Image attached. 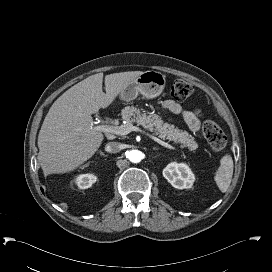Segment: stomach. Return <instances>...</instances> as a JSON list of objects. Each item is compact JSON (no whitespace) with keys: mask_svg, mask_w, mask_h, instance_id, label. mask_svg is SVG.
I'll return each mask as SVG.
<instances>
[{"mask_svg":"<svg viewBox=\"0 0 272 272\" xmlns=\"http://www.w3.org/2000/svg\"><path fill=\"white\" fill-rule=\"evenodd\" d=\"M165 83V75L161 72L154 70L146 71L130 82L119 95L121 100L125 102L135 100L138 95H142L147 99H153L163 92Z\"/></svg>","mask_w":272,"mask_h":272,"instance_id":"stomach-1","label":"stomach"}]
</instances>
